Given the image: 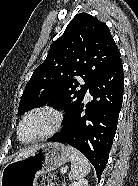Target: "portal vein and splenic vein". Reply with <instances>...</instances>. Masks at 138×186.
Here are the masks:
<instances>
[{"label": "portal vein and splenic vein", "mask_w": 138, "mask_h": 186, "mask_svg": "<svg viewBox=\"0 0 138 186\" xmlns=\"http://www.w3.org/2000/svg\"><path fill=\"white\" fill-rule=\"evenodd\" d=\"M61 173H66V169H61Z\"/></svg>", "instance_id": "18ae733b"}]
</instances>
